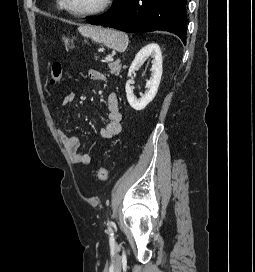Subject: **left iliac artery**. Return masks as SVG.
Returning <instances> with one entry per match:
<instances>
[{
	"label": "left iliac artery",
	"instance_id": "left-iliac-artery-1",
	"mask_svg": "<svg viewBox=\"0 0 255 272\" xmlns=\"http://www.w3.org/2000/svg\"><path fill=\"white\" fill-rule=\"evenodd\" d=\"M107 226H108V230H109V232H110V233H111V235H112V229H111V227H110V226H111V222H109V221H108Z\"/></svg>",
	"mask_w": 255,
	"mask_h": 272
}]
</instances>
